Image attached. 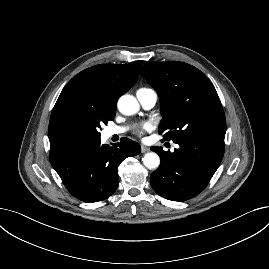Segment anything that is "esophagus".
<instances>
[{
    "instance_id": "1",
    "label": "esophagus",
    "mask_w": 269,
    "mask_h": 269,
    "mask_svg": "<svg viewBox=\"0 0 269 269\" xmlns=\"http://www.w3.org/2000/svg\"><path fill=\"white\" fill-rule=\"evenodd\" d=\"M150 149L147 146L141 145V152L142 153H146L148 152Z\"/></svg>"
}]
</instances>
